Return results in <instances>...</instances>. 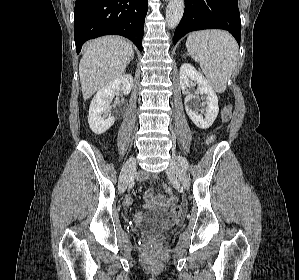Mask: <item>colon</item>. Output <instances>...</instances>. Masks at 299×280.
<instances>
[{"instance_id":"colon-1","label":"colon","mask_w":299,"mask_h":280,"mask_svg":"<svg viewBox=\"0 0 299 280\" xmlns=\"http://www.w3.org/2000/svg\"><path fill=\"white\" fill-rule=\"evenodd\" d=\"M230 117V109L226 108L223 112V120L227 121ZM215 139V135H211L207 138L208 143H212ZM182 214V208L180 206L173 207L169 212V220H175Z\"/></svg>"}]
</instances>
